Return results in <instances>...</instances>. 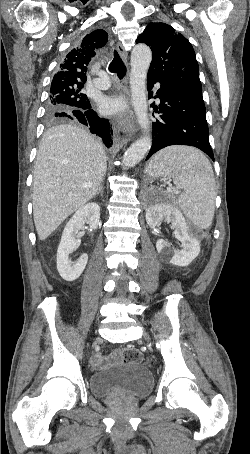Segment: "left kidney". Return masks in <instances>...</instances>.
I'll return each instance as SVG.
<instances>
[{
	"label": "left kidney",
	"mask_w": 250,
	"mask_h": 454,
	"mask_svg": "<svg viewBox=\"0 0 250 454\" xmlns=\"http://www.w3.org/2000/svg\"><path fill=\"white\" fill-rule=\"evenodd\" d=\"M163 221L174 229L175 238L181 242V250L171 247L164 239L156 242V249L164 258L176 266H188L200 253V242L188 226L180 210L168 203L156 204L147 209L146 222L149 227L156 228Z\"/></svg>",
	"instance_id": "left-kidney-1"
}]
</instances>
